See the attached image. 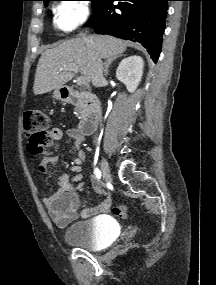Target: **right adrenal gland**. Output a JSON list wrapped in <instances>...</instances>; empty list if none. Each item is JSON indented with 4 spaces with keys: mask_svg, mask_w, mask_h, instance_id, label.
<instances>
[{
    "mask_svg": "<svg viewBox=\"0 0 216 285\" xmlns=\"http://www.w3.org/2000/svg\"><path fill=\"white\" fill-rule=\"evenodd\" d=\"M122 56H123L122 54H118V55H114V56L108 57V58L105 60V63H104V75H105V76L108 75V68L110 67V65L112 64V62L115 61V60L118 59V58H121Z\"/></svg>",
    "mask_w": 216,
    "mask_h": 285,
    "instance_id": "1",
    "label": "right adrenal gland"
}]
</instances>
